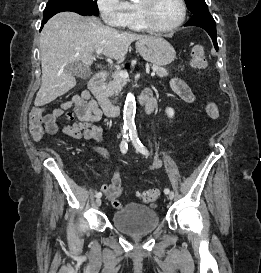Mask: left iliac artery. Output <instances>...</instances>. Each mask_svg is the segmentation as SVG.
I'll use <instances>...</instances> for the list:
<instances>
[{
    "label": "left iliac artery",
    "instance_id": "44dca946",
    "mask_svg": "<svg viewBox=\"0 0 261 273\" xmlns=\"http://www.w3.org/2000/svg\"><path fill=\"white\" fill-rule=\"evenodd\" d=\"M130 138H131V140H132V143H133L134 147H135L140 153H142L143 155H146V156L149 155L147 149L143 146V144L141 143V141H140L139 138H138L136 128H132V129L130 130ZM164 193H165V194H168V193H170V190H169L168 188H165V189H164Z\"/></svg>",
    "mask_w": 261,
    "mask_h": 273
}]
</instances>
